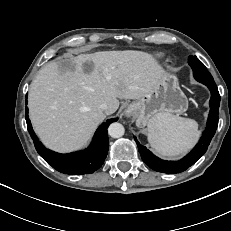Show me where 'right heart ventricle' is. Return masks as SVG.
Here are the masks:
<instances>
[{
	"label": "right heart ventricle",
	"mask_w": 231,
	"mask_h": 231,
	"mask_svg": "<svg viewBox=\"0 0 231 231\" xmlns=\"http://www.w3.org/2000/svg\"><path fill=\"white\" fill-rule=\"evenodd\" d=\"M157 58H162V54H157Z\"/></svg>",
	"instance_id": "right-heart-ventricle-1"
}]
</instances>
